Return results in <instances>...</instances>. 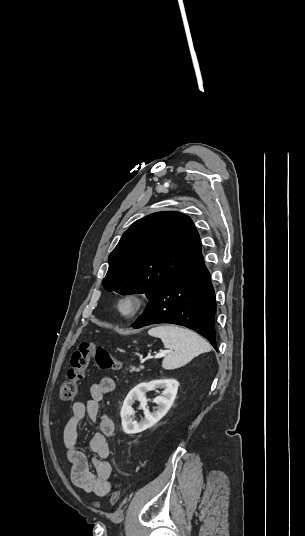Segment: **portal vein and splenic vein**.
<instances>
[{
    "label": "portal vein and splenic vein",
    "instance_id": "obj_1",
    "mask_svg": "<svg viewBox=\"0 0 305 536\" xmlns=\"http://www.w3.org/2000/svg\"><path fill=\"white\" fill-rule=\"evenodd\" d=\"M169 352H172V350H163V352L156 354L155 358H163V356H166V354H169Z\"/></svg>",
    "mask_w": 305,
    "mask_h": 536
}]
</instances>
